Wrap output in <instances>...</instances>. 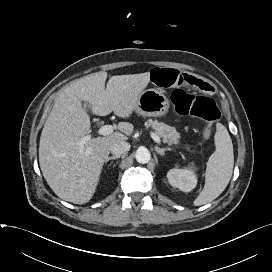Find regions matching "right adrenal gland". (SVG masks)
<instances>
[{
  "label": "right adrenal gland",
  "instance_id": "1",
  "mask_svg": "<svg viewBox=\"0 0 272 272\" xmlns=\"http://www.w3.org/2000/svg\"><path fill=\"white\" fill-rule=\"evenodd\" d=\"M118 158H120V156L113 155V156H111V157H108V158L105 160V163H107V162L110 161V160H115V159H118Z\"/></svg>",
  "mask_w": 272,
  "mask_h": 272
}]
</instances>
